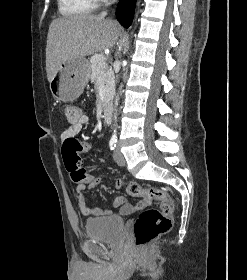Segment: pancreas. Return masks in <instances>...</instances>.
<instances>
[{"label": "pancreas", "mask_w": 247, "mask_h": 280, "mask_svg": "<svg viewBox=\"0 0 247 280\" xmlns=\"http://www.w3.org/2000/svg\"><path fill=\"white\" fill-rule=\"evenodd\" d=\"M106 63V58L103 54H94L90 58L91 80L96 81L99 77L105 84L104 103L110 98L112 86H113V72L111 68L102 67V64Z\"/></svg>", "instance_id": "cf45deb5"}]
</instances>
